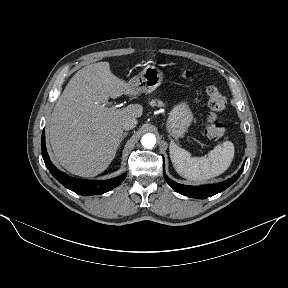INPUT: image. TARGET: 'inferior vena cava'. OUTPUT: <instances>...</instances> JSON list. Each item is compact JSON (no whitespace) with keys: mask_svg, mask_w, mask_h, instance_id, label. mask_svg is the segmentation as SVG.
<instances>
[{"mask_svg":"<svg viewBox=\"0 0 288 288\" xmlns=\"http://www.w3.org/2000/svg\"><path fill=\"white\" fill-rule=\"evenodd\" d=\"M138 121L136 118H128L123 123V129L124 130H130L133 129L137 125Z\"/></svg>","mask_w":288,"mask_h":288,"instance_id":"obj_1","label":"inferior vena cava"}]
</instances>
